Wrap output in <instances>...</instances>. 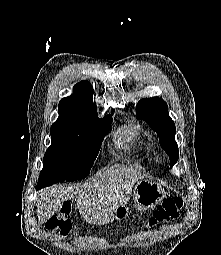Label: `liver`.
I'll return each instance as SVG.
<instances>
[{
	"instance_id": "obj_1",
	"label": "liver",
	"mask_w": 221,
	"mask_h": 255,
	"mask_svg": "<svg viewBox=\"0 0 221 255\" xmlns=\"http://www.w3.org/2000/svg\"><path fill=\"white\" fill-rule=\"evenodd\" d=\"M144 177L145 174L133 167L116 164L83 184L52 186L39 195L38 221L47 222L65 201L75 198L79 213L87 223L108 224L114 220L115 208L130 200L134 184Z\"/></svg>"
}]
</instances>
